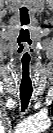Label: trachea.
<instances>
[{
    "instance_id": "3493384b",
    "label": "trachea",
    "mask_w": 53,
    "mask_h": 133,
    "mask_svg": "<svg viewBox=\"0 0 53 133\" xmlns=\"http://www.w3.org/2000/svg\"><path fill=\"white\" fill-rule=\"evenodd\" d=\"M32 88H20V99H21V107L22 111H25L27 109L29 100L32 96Z\"/></svg>"
}]
</instances>
